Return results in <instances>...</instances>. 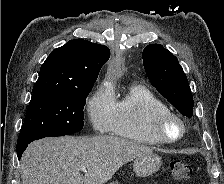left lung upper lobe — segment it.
<instances>
[{"label": "left lung upper lobe", "instance_id": "1", "mask_svg": "<svg viewBox=\"0 0 224 184\" xmlns=\"http://www.w3.org/2000/svg\"><path fill=\"white\" fill-rule=\"evenodd\" d=\"M143 64L157 91L183 116L192 117L193 97L178 59L163 46L150 44L143 51Z\"/></svg>", "mask_w": 224, "mask_h": 184}]
</instances>
